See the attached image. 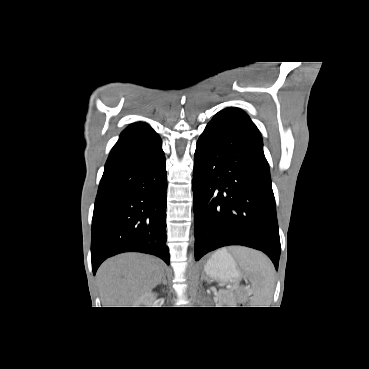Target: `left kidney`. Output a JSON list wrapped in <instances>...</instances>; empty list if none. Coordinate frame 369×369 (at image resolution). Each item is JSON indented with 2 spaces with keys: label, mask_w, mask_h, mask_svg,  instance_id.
<instances>
[{
  "label": "left kidney",
  "mask_w": 369,
  "mask_h": 369,
  "mask_svg": "<svg viewBox=\"0 0 369 369\" xmlns=\"http://www.w3.org/2000/svg\"><path fill=\"white\" fill-rule=\"evenodd\" d=\"M234 306H236V302L233 294L225 290L219 291V307H234Z\"/></svg>",
  "instance_id": "left-kidney-1"
}]
</instances>
